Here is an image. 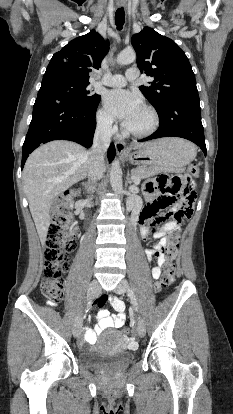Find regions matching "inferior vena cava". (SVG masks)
Returning a JSON list of instances; mask_svg holds the SVG:
<instances>
[{
  "mask_svg": "<svg viewBox=\"0 0 233 414\" xmlns=\"http://www.w3.org/2000/svg\"><path fill=\"white\" fill-rule=\"evenodd\" d=\"M111 129V120L103 121L96 128L88 159V177L92 182L102 178L105 172L104 155L110 145Z\"/></svg>",
  "mask_w": 233,
  "mask_h": 414,
  "instance_id": "1",
  "label": "inferior vena cava"
}]
</instances>
